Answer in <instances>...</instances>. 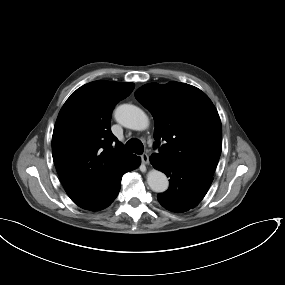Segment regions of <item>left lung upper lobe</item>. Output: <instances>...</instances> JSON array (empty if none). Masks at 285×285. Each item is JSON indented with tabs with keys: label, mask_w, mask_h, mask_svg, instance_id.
I'll return each mask as SVG.
<instances>
[{
	"label": "left lung upper lobe",
	"mask_w": 285,
	"mask_h": 285,
	"mask_svg": "<svg viewBox=\"0 0 285 285\" xmlns=\"http://www.w3.org/2000/svg\"><path fill=\"white\" fill-rule=\"evenodd\" d=\"M154 117L158 156L213 176L222 150L220 117L208 96L185 83H150L135 92ZM159 145V144H158Z\"/></svg>",
	"instance_id": "5c2ea615"
}]
</instances>
